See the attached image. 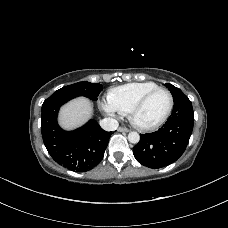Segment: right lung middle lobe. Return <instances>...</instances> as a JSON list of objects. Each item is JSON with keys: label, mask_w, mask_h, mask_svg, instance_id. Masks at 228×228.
Wrapping results in <instances>:
<instances>
[{"label": "right lung middle lobe", "mask_w": 228, "mask_h": 228, "mask_svg": "<svg viewBox=\"0 0 228 228\" xmlns=\"http://www.w3.org/2000/svg\"><path fill=\"white\" fill-rule=\"evenodd\" d=\"M102 90V85L99 83H90L87 81L78 82L69 86L62 87L53 94L58 96H85L90 100H97L98 95Z\"/></svg>", "instance_id": "obj_1"}]
</instances>
